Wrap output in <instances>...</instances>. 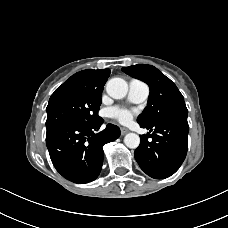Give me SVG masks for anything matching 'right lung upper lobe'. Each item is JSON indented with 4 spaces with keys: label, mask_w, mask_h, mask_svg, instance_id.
I'll use <instances>...</instances> for the list:
<instances>
[{
    "label": "right lung upper lobe",
    "mask_w": 228,
    "mask_h": 228,
    "mask_svg": "<svg viewBox=\"0 0 228 228\" xmlns=\"http://www.w3.org/2000/svg\"><path fill=\"white\" fill-rule=\"evenodd\" d=\"M110 75L109 69L83 70L71 76L68 81L74 82L89 91H103L104 84Z\"/></svg>",
    "instance_id": "obj_1"
}]
</instances>
